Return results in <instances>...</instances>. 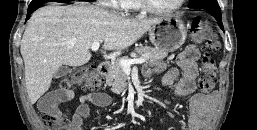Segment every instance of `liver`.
<instances>
[{
  "label": "liver",
  "instance_id": "liver-1",
  "mask_svg": "<svg viewBox=\"0 0 257 130\" xmlns=\"http://www.w3.org/2000/svg\"><path fill=\"white\" fill-rule=\"evenodd\" d=\"M158 21L127 19L94 7L52 4L38 9L27 23L20 46L31 104L49 90L61 66L86 64L92 43L103 41V49L121 51Z\"/></svg>",
  "mask_w": 257,
  "mask_h": 130
}]
</instances>
